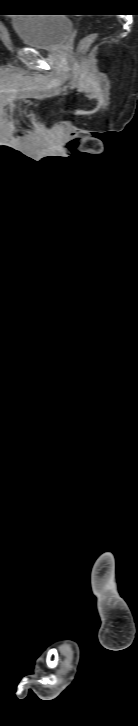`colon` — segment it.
<instances>
[{"mask_svg": "<svg viewBox=\"0 0 138 726\" xmlns=\"http://www.w3.org/2000/svg\"><path fill=\"white\" fill-rule=\"evenodd\" d=\"M96 38L95 33H91L84 38L81 39L79 45H78V51L83 52Z\"/></svg>", "mask_w": 138, "mask_h": 726, "instance_id": "obj_1", "label": "colon"}]
</instances>
